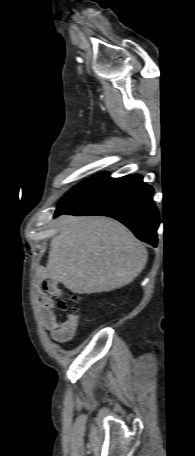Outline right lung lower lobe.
Segmentation results:
<instances>
[{
	"instance_id": "1",
	"label": "right lung lower lobe",
	"mask_w": 195,
	"mask_h": 456,
	"mask_svg": "<svg viewBox=\"0 0 195 456\" xmlns=\"http://www.w3.org/2000/svg\"><path fill=\"white\" fill-rule=\"evenodd\" d=\"M153 189L138 174L116 178L83 203L64 212L72 215H101L115 218L136 237L157 246L159 214L152 201Z\"/></svg>"
}]
</instances>
